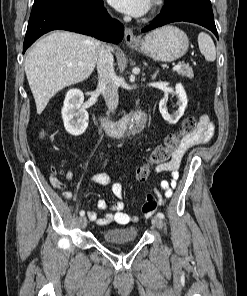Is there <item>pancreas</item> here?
Segmentation results:
<instances>
[{
    "instance_id": "cf45deb5",
    "label": "pancreas",
    "mask_w": 247,
    "mask_h": 296,
    "mask_svg": "<svg viewBox=\"0 0 247 296\" xmlns=\"http://www.w3.org/2000/svg\"><path fill=\"white\" fill-rule=\"evenodd\" d=\"M177 73L179 75L187 77L189 79H192L194 77L192 67L188 64L182 65L181 68L179 70H177Z\"/></svg>"
}]
</instances>
